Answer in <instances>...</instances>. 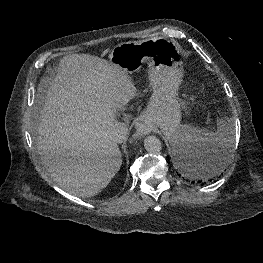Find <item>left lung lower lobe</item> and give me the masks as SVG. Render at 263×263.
<instances>
[{
	"label": "left lung lower lobe",
	"instance_id": "0a47b994",
	"mask_svg": "<svg viewBox=\"0 0 263 263\" xmlns=\"http://www.w3.org/2000/svg\"><path fill=\"white\" fill-rule=\"evenodd\" d=\"M223 149L222 146L216 144H209L195 152L176 149L174 155L179 176L193 184L204 185L217 174L216 168L222 161Z\"/></svg>",
	"mask_w": 263,
	"mask_h": 263
}]
</instances>
